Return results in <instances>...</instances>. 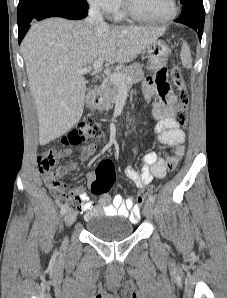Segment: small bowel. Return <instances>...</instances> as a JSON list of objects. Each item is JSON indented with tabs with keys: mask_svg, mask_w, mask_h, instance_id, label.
I'll list each match as a JSON object with an SVG mask.
<instances>
[{
	"mask_svg": "<svg viewBox=\"0 0 227 298\" xmlns=\"http://www.w3.org/2000/svg\"><path fill=\"white\" fill-rule=\"evenodd\" d=\"M169 69H160L156 72V78H147L144 82L143 89L145 98L152 103V110L148 111L149 115H153L156 124L153 131L156 134V143L158 146L173 147L174 151L171 156L166 159L159 157L155 152H148L142 157L143 166L139 171L132 166H127L124 170L125 176L131 180L137 188H145L154 178L161 179L165 177L167 171L172 170L185 153V132L180 128L174 118L177 105V97L174 91H170V82H168ZM96 151L95 144L85 146L80 155L82 162L88 161ZM70 146H63L59 150L58 146H53L52 150L42 153L37 157L39 170L43 180L55 195L56 190L63 194H67L68 187L66 184L59 182L57 178L64 174L73 172L77 169L74 162L68 163L62 167H58L57 159L69 156L71 154ZM95 177L94 173H88L87 178L92 181ZM56 185L53 186L52 182ZM73 202L77 204L79 211L85 213V218L104 214L106 216H118L137 222L140 218V205L134 204L132 199H124L120 195L114 197L108 194L100 195L98 203L89 201L85 194L84 188L79 186L71 192Z\"/></svg>",
	"mask_w": 227,
	"mask_h": 298,
	"instance_id": "obj_1",
	"label": "small bowel"
}]
</instances>
